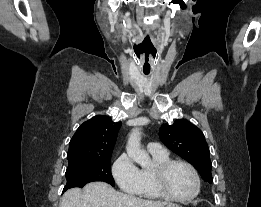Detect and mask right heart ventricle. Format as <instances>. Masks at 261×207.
Wrapping results in <instances>:
<instances>
[{"instance_id": "right-heart-ventricle-1", "label": "right heart ventricle", "mask_w": 261, "mask_h": 207, "mask_svg": "<svg viewBox=\"0 0 261 207\" xmlns=\"http://www.w3.org/2000/svg\"><path fill=\"white\" fill-rule=\"evenodd\" d=\"M151 155L154 162V166L152 168H144L140 170L142 185H141L139 195L146 199H160L162 198V196L158 193L155 187L154 179H153V170L157 165L169 160L170 157L167 153L166 154L151 153Z\"/></svg>"}]
</instances>
